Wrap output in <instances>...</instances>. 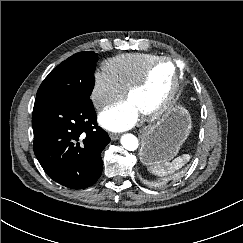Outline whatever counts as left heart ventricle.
Instances as JSON below:
<instances>
[{"instance_id":"obj_1","label":"left heart ventricle","mask_w":243,"mask_h":243,"mask_svg":"<svg viewBox=\"0 0 243 243\" xmlns=\"http://www.w3.org/2000/svg\"><path fill=\"white\" fill-rule=\"evenodd\" d=\"M174 75L173 65L168 62L159 63L152 70L147 83L136 90L128 100L141 113L157 106L169 90Z\"/></svg>"}]
</instances>
